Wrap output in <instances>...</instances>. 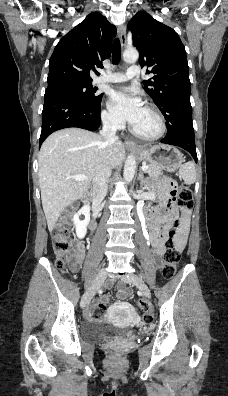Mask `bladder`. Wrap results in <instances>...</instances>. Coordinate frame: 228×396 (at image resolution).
I'll return each instance as SVG.
<instances>
[{
	"instance_id": "1",
	"label": "bladder",
	"mask_w": 228,
	"mask_h": 396,
	"mask_svg": "<svg viewBox=\"0 0 228 396\" xmlns=\"http://www.w3.org/2000/svg\"><path fill=\"white\" fill-rule=\"evenodd\" d=\"M130 329H124L102 321H88L81 327V335L86 341H104L125 337Z\"/></svg>"
}]
</instances>
